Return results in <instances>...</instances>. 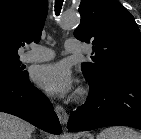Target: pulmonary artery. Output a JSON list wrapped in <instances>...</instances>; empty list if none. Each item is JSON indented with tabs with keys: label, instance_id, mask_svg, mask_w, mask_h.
I'll return each mask as SVG.
<instances>
[{
	"label": "pulmonary artery",
	"instance_id": "1",
	"mask_svg": "<svg viewBox=\"0 0 141 139\" xmlns=\"http://www.w3.org/2000/svg\"><path fill=\"white\" fill-rule=\"evenodd\" d=\"M65 50L69 53H76L82 50L81 44L76 40H67L65 42ZM54 51L43 47L34 45L32 49L24 54L23 60L25 62H44L54 58Z\"/></svg>",
	"mask_w": 141,
	"mask_h": 139
}]
</instances>
